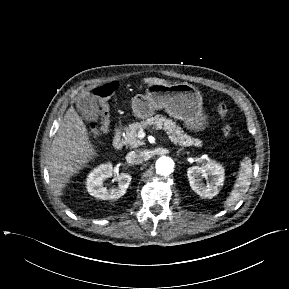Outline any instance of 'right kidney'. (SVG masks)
<instances>
[{
  "label": "right kidney",
  "instance_id": "1",
  "mask_svg": "<svg viewBox=\"0 0 289 289\" xmlns=\"http://www.w3.org/2000/svg\"><path fill=\"white\" fill-rule=\"evenodd\" d=\"M113 176V167L111 163L101 164L94 168L87 176L86 188L90 195L102 199H118L126 193L131 182V176L127 173H120L116 177L118 186L107 189L104 181Z\"/></svg>",
  "mask_w": 289,
  "mask_h": 289
}]
</instances>
